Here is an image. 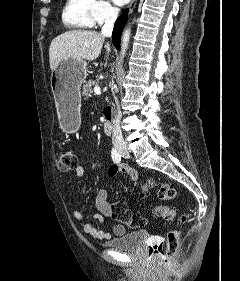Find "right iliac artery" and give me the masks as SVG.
Wrapping results in <instances>:
<instances>
[{
    "instance_id": "1",
    "label": "right iliac artery",
    "mask_w": 240,
    "mask_h": 281,
    "mask_svg": "<svg viewBox=\"0 0 240 281\" xmlns=\"http://www.w3.org/2000/svg\"><path fill=\"white\" fill-rule=\"evenodd\" d=\"M111 156L115 163L121 162V155L118 153L116 149H112Z\"/></svg>"
}]
</instances>
